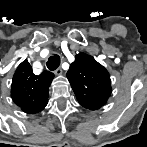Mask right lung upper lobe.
Returning a JSON list of instances; mask_svg holds the SVG:
<instances>
[{"mask_svg": "<svg viewBox=\"0 0 147 147\" xmlns=\"http://www.w3.org/2000/svg\"><path fill=\"white\" fill-rule=\"evenodd\" d=\"M54 74L43 71L40 75L33 74L27 60L16 69L11 85V97L14 103L27 114L42 111L48 103L49 86Z\"/></svg>", "mask_w": 147, "mask_h": 147, "instance_id": "1", "label": "right lung upper lobe"}]
</instances>
